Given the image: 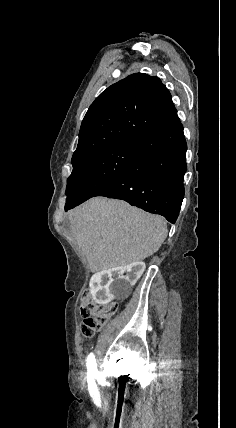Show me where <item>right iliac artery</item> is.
Here are the masks:
<instances>
[{"instance_id":"1","label":"right iliac artery","mask_w":236,"mask_h":428,"mask_svg":"<svg viewBox=\"0 0 236 428\" xmlns=\"http://www.w3.org/2000/svg\"><path fill=\"white\" fill-rule=\"evenodd\" d=\"M86 366L88 371L87 374H98L97 364L93 353L88 355Z\"/></svg>"}]
</instances>
